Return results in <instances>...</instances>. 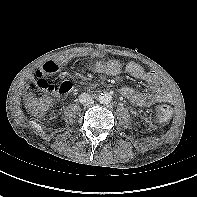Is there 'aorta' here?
<instances>
[{
	"label": "aorta",
	"mask_w": 197,
	"mask_h": 197,
	"mask_svg": "<svg viewBox=\"0 0 197 197\" xmlns=\"http://www.w3.org/2000/svg\"><path fill=\"white\" fill-rule=\"evenodd\" d=\"M111 100H112V95L108 92H103L98 97V101L101 104H109Z\"/></svg>",
	"instance_id": "762f6f07"
}]
</instances>
